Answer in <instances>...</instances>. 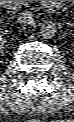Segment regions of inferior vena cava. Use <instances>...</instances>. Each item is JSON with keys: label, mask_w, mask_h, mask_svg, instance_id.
<instances>
[{"label": "inferior vena cava", "mask_w": 74, "mask_h": 122, "mask_svg": "<svg viewBox=\"0 0 74 122\" xmlns=\"http://www.w3.org/2000/svg\"><path fill=\"white\" fill-rule=\"evenodd\" d=\"M18 23L21 25H33L34 24V17L33 14L29 11L21 12L18 16Z\"/></svg>", "instance_id": "inferior-vena-cava-1"}]
</instances>
